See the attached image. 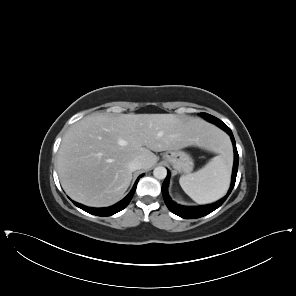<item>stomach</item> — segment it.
I'll list each match as a JSON object with an SVG mask.
<instances>
[{
  "label": "stomach",
  "instance_id": "0dacf381",
  "mask_svg": "<svg viewBox=\"0 0 296 296\" xmlns=\"http://www.w3.org/2000/svg\"><path fill=\"white\" fill-rule=\"evenodd\" d=\"M163 159L170 163L179 173L188 174L193 170L194 162L192 157L185 151L173 150L163 155Z\"/></svg>",
  "mask_w": 296,
  "mask_h": 296
}]
</instances>
